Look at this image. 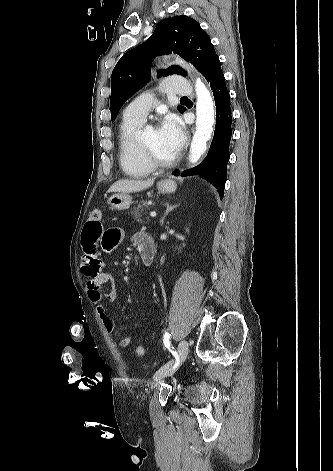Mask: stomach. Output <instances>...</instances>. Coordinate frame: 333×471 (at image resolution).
I'll return each instance as SVG.
<instances>
[{
  "label": "stomach",
  "instance_id": "stomach-1",
  "mask_svg": "<svg viewBox=\"0 0 333 471\" xmlns=\"http://www.w3.org/2000/svg\"><path fill=\"white\" fill-rule=\"evenodd\" d=\"M157 188L162 194L174 193L177 184L171 179H164L158 182ZM109 205L116 210H125L132 204V197L128 193H117L108 199Z\"/></svg>",
  "mask_w": 333,
  "mask_h": 471
}]
</instances>
